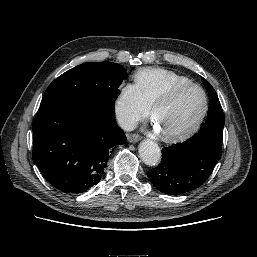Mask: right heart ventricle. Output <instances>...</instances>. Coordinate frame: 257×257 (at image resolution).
Wrapping results in <instances>:
<instances>
[{
    "mask_svg": "<svg viewBox=\"0 0 257 257\" xmlns=\"http://www.w3.org/2000/svg\"><path fill=\"white\" fill-rule=\"evenodd\" d=\"M134 80L149 106L173 87L191 83L187 77L164 68H142L134 74Z\"/></svg>",
    "mask_w": 257,
    "mask_h": 257,
    "instance_id": "1",
    "label": "right heart ventricle"
}]
</instances>
